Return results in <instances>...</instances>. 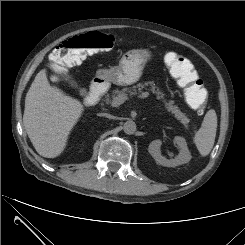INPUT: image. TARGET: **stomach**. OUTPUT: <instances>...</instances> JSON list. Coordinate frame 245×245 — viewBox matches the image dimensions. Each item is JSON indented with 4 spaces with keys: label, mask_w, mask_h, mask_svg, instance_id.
Here are the masks:
<instances>
[{
    "label": "stomach",
    "mask_w": 245,
    "mask_h": 245,
    "mask_svg": "<svg viewBox=\"0 0 245 245\" xmlns=\"http://www.w3.org/2000/svg\"><path fill=\"white\" fill-rule=\"evenodd\" d=\"M152 54L148 49H132L124 53L119 65L110 69H99L96 77L116 85H131L137 82Z\"/></svg>",
    "instance_id": "stomach-1"
}]
</instances>
